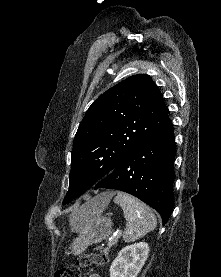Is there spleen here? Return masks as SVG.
<instances>
[{
	"label": "spleen",
	"mask_w": 221,
	"mask_h": 277,
	"mask_svg": "<svg viewBox=\"0 0 221 277\" xmlns=\"http://www.w3.org/2000/svg\"><path fill=\"white\" fill-rule=\"evenodd\" d=\"M114 202L121 206L127 221L123 234L125 242L135 241L156 228L157 220L154 213L137 198L118 192Z\"/></svg>",
	"instance_id": "1"
}]
</instances>
